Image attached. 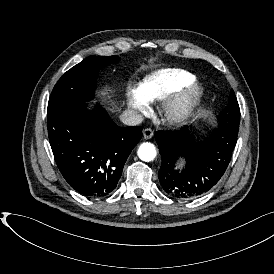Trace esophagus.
<instances>
[{
  "mask_svg": "<svg viewBox=\"0 0 274 274\" xmlns=\"http://www.w3.org/2000/svg\"><path fill=\"white\" fill-rule=\"evenodd\" d=\"M153 135H154V132L151 128H145L143 130V138L144 139H150L153 137Z\"/></svg>",
  "mask_w": 274,
  "mask_h": 274,
  "instance_id": "obj_1",
  "label": "esophagus"
}]
</instances>
